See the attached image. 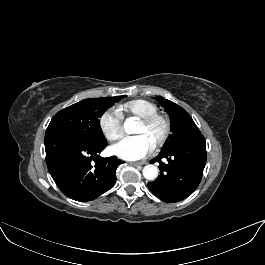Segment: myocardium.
Segmentation results:
<instances>
[{
  "label": "myocardium",
  "mask_w": 265,
  "mask_h": 265,
  "mask_svg": "<svg viewBox=\"0 0 265 265\" xmlns=\"http://www.w3.org/2000/svg\"><path fill=\"white\" fill-rule=\"evenodd\" d=\"M140 122L146 126L153 125L157 122L162 124V133L158 140L153 144L154 148H160L167 142L171 133V122L167 116L160 113H154L140 118Z\"/></svg>",
  "instance_id": "obj_1"
}]
</instances>
